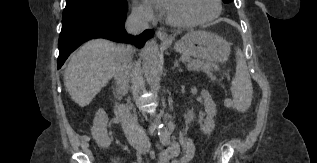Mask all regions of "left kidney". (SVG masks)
Here are the masks:
<instances>
[{
    "label": "left kidney",
    "mask_w": 317,
    "mask_h": 163,
    "mask_svg": "<svg viewBox=\"0 0 317 163\" xmlns=\"http://www.w3.org/2000/svg\"><path fill=\"white\" fill-rule=\"evenodd\" d=\"M201 97L204 100V107L207 113V118L205 119L204 123L201 124L200 130L205 134H211L215 127L214 117L216 116L217 112L216 105L208 91L202 90Z\"/></svg>",
    "instance_id": "left-kidney-1"
}]
</instances>
